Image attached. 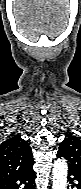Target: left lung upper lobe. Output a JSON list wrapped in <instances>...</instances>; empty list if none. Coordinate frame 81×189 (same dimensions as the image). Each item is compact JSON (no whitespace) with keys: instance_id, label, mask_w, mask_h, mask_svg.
<instances>
[{"instance_id":"left-lung-upper-lobe-1","label":"left lung upper lobe","mask_w":81,"mask_h":189,"mask_svg":"<svg viewBox=\"0 0 81 189\" xmlns=\"http://www.w3.org/2000/svg\"><path fill=\"white\" fill-rule=\"evenodd\" d=\"M57 157H63L68 162L69 173L81 177V138L69 134L60 143Z\"/></svg>"}]
</instances>
